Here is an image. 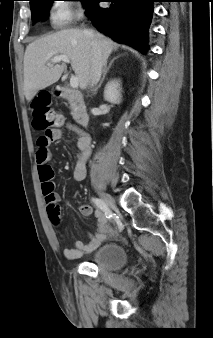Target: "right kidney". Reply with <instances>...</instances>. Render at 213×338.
<instances>
[{"instance_id": "obj_1", "label": "right kidney", "mask_w": 213, "mask_h": 338, "mask_svg": "<svg viewBox=\"0 0 213 338\" xmlns=\"http://www.w3.org/2000/svg\"><path fill=\"white\" fill-rule=\"evenodd\" d=\"M104 98L111 103H120L121 94L119 81L111 80L107 83L104 90Z\"/></svg>"}]
</instances>
